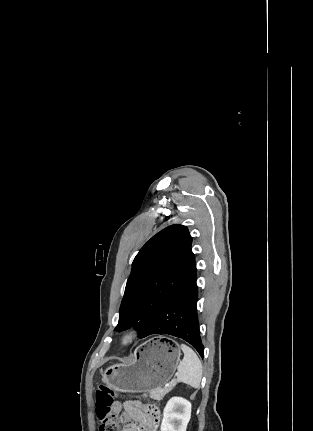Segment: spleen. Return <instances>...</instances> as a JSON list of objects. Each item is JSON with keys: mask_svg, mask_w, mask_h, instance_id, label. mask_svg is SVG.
Instances as JSON below:
<instances>
[{"mask_svg": "<svg viewBox=\"0 0 313 431\" xmlns=\"http://www.w3.org/2000/svg\"><path fill=\"white\" fill-rule=\"evenodd\" d=\"M183 360L178 365L177 381L193 388H199L202 378V364L196 353L187 345L181 344Z\"/></svg>", "mask_w": 313, "mask_h": 431, "instance_id": "3e777b00", "label": "spleen"}]
</instances>
